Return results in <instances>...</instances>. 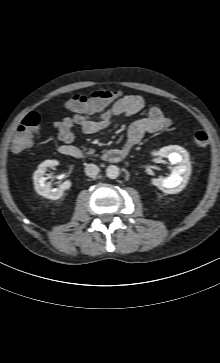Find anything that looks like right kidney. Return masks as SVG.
<instances>
[{"label": "right kidney", "instance_id": "ca27d5eb", "mask_svg": "<svg viewBox=\"0 0 220 363\" xmlns=\"http://www.w3.org/2000/svg\"><path fill=\"white\" fill-rule=\"evenodd\" d=\"M59 162L57 160H46L42 162L38 169L34 172L33 181H34V188L36 192L48 199H59L63 194L64 191L71 187V181L66 180L63 184H61L58 188H51L50 183H46V177H44L45 172L48 167L56 166Z\"/></svg>", "mask_w": 220, "mask_h": 363}]
</instances>
